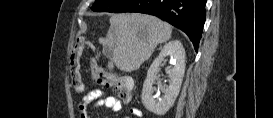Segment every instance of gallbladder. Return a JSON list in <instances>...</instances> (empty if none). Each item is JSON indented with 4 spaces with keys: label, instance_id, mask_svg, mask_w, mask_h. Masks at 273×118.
Wrapping results in <instances>:
<instances>
[{
    "label": "gallbladder",
    "instance_id": "bac80fb5",
    "mask_svg": "<svg viewBox=\"0 0 273 118\" xmlns=\"http://www.w3.org/2000/svg\"><path fill=\"white\" fill-rule=\"evenodd\" d=\"M103 53L107 56V57H111L112 56V46L110 45H105L103 47Z\"/></svg>",
    "mask_w": 273,
    "mask_h": 118
}]
</instances>
